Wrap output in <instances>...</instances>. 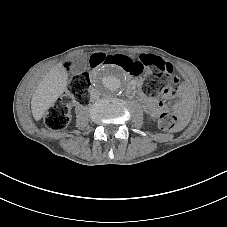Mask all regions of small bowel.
Masks as SVG:
<instances>
[{
    "label": "small bowel",
    "mask_w": 227,
    "mask_h": 227,
    "mask_svg": "<svg viewBox=\"0 0 227 227\" xmlns=\"http://www.w3.org/2000/svg\"><path fill=\"white\" fill-rule=\"evenodd\" d=\"M111 65H113V64H111ZM187 94H189L188 90H187ZM140 97L144 103V109L150 117H157L162 112L165 111L166 107L162 102L155 100L154 98L146 95L145 93H141ZM174 109H175V111L180 113L184 117V119L186 118L187 103H179L174 107Z\"/></svg>",
    "instance_id": "c3829d8e"
}]
</instances>
